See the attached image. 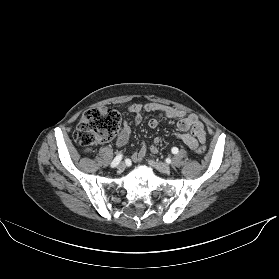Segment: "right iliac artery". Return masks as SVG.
Returning a JSON list of instances; mask_svg holds the SVG:
<instances>
[{
    "mask_svg": "<svg viewBox=\"0 0 279 279\" xmlns=\"http://www.w3.org/2000/svg\"><path fill=\"white\" fill-rule=\"evenodd\" d=\"M122 159V154H118L111 163V167H116Z\"/></svg>",
    "mask_w": 279,
    "mask_h": 279,
    "instance_id": "1",
    "label": "right iliac artery"
}]
</instances>
